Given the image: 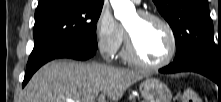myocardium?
Returning a JSON list of instances; mask_svg holds the SVG:
<instances>
[{
    "mask_svg": "<svg viewBox=\"0 0 221 102\" xmlns=\"http://www.w3.org/2000/svg\"><path fill=\"white\" fill-rule=\"evenodd\" d=\"M138 16L143 20L156 21L164 27L170 39V49H169L167 56L162 61L157 62V63H149L140 57V55L138 54L135 48L132 36L129 33V31L126 29V53H127L128 58L134 64L145 69L154 70V69H160V68L167 66L174 59L176 52H177V37H176L174 29L165 18H163L162 16L158 14L148 12V11H140L138 12Z\"/></svg>",
    "mask_w": 221,
    "mask_h": 102,
    "instance_id": "obj_1",
    "label": "myocardium"
}]
</instances>
